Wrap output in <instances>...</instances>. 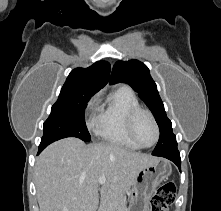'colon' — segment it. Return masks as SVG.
<instances>
[{
    "instance_id": "colon-1",
    "label": "colon",
    "mask_w": 221,
    "mask_h": 211,
    "mask_svg": "<svg viewBox=\"0 0 221 211\" xmlns=\"http://www.w3.org/2000/svg\"><path fill=\"white\" fill-rule=\"evenodd\" d=\"M176 195L173 182L163 183L151 200V211H168L172 206Z\"/></svg>"
}]
</instances>
